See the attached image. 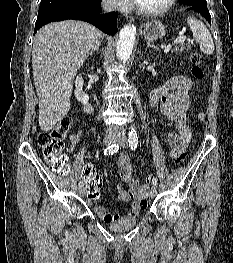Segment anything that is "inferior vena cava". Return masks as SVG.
I'll return each mask as SVG.
<instances>
[{
  "label": "inferior vena cava",
  "instance_id": "1",
  "mask_svg": "<svg viewBox=\"0 0 233 263\" xmlns=\"http://www.w3.org/2000/svg\"><path fill=\"white\" fill-rule=\"evenodd\" d=\"M116 8L115 0H102V9L104 12L113 11ZM116 127H109V130H115Z\"/></svg>",
  "mask_w": 233,
  "mask_h": 263
}]
</instances>
